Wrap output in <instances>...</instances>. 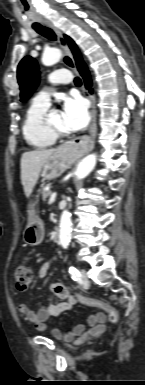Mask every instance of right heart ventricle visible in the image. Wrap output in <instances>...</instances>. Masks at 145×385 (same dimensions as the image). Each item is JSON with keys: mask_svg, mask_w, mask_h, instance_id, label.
<instances>
[{"mask_svg": "<svg viewBox=\"0 0 145 385\" xmlns=\"http://www.w3.org/2000/svg\"><path fill=\"white\" fill-rule=\"evenodd\" d=\"M48 106L32 102L26 110L22 122V134L26 143L34 149H45L52 146L54 138L45 128L44 119Z\"/></svg>", "mask_w": 145, "mask_h": 385, "instance_id": "1", "label": "right heart ventricle"}]
</instances>
